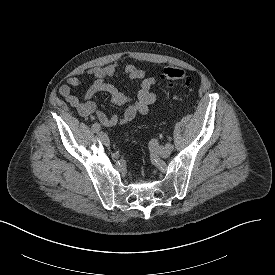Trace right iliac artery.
<instances>
[{"mask_svg": "<svg viewBox=\"0 0 275 275\" xmlns=\"http://www.w3.org/2000/svg\"><path fill=\"white\" fill-rule=\"evenodd\" d=\"M100 129H101V127H100V125H99L98 123H94V124L92 125V130H93V132L97 133V132L100 131Z\"/></svg>", "mask_w": 275, "mask_h": 275, "instance_id": "82829eb1", "label": "right iliac artery"}]
</instances>
